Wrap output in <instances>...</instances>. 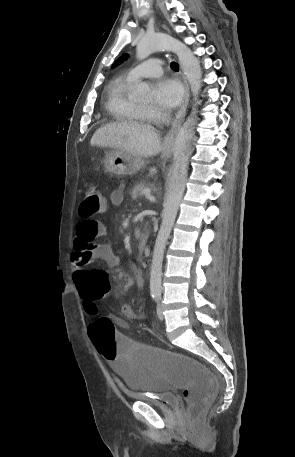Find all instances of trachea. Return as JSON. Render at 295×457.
I'll list each match as a JSON object with an SVG mask.
<instances>
[{
    "instance_id": "trachea-1",
    "label": "trachea",
    "mask_w": 295,
    "mask_h": 457,
    "mask_svg": "<svg viewBox=\"0 0 295 457\" xmlns=\"http://www.w3.org/2000/svg\"><path fill=\"white\" fill-rule=\"evenodd\" d=\"M171 68H172L173 70H177V69H178V64H177L176 62H172V63H171Z\"/></svg>"
}]
</instances>
